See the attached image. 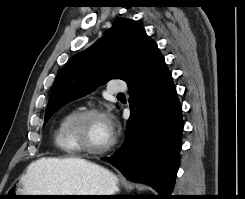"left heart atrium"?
I'll use <instances>...</instances> for the list:
<instances>
[{
    "label": "left heart atrium",
    "instance_id": "39dd6f15",
    "mask_svg": "<svg viewBox=\"0 0 245 199\" xmlns=\"http://www.w3.org/2000/svg\"><path fill=\"white\" fill-rule=\"evenodd\" d=\"M108 122H109L110 130H111V132L113 133V126H112V123H111L110 120H108Z\"/></svg>",
    "mask_w": 245,
    "mask_h": 199
}]
</instances>
